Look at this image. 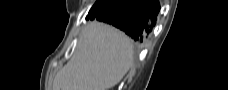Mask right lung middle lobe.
Masks as SVG:
<instances>
[{
    "label": "right lung middle lobe",
    "mask_w": 228,
    "mask_h": 90,
    "mask_svg": "<svg viewBox=\"0 0 228 90\" xmlns=\"http://www.w3.org/2000/svg\"><path fill=\"white\" fill-rule=\"evenodd\" d=\"M102 2H103V0H97L95 4L98 5V6H100V4H101Z\"/></svg>",
    "instance_id": "1"
}]
</instances>
